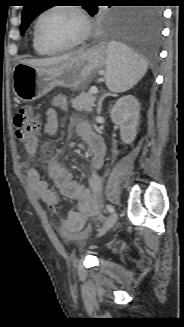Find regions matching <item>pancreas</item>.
Listing matches in <instances>:
<instances>
[{
  "label": "pancreas",
  "mask_w": 184,
  "mask_h": 327,
  "mask_svg": "<svg viewBox=\"0 0 184 327\" xmlns=\"http://www.w3.org/2000/svg\"><path fill=\"white\" fill-rule=\"evenodd\" d=\"M97 97L92 91L82 92L76 98L72 99V107L77 111L91 112L95 106Z\"/></svg>",
  "instance_id": "pancreas-1"
}]
</instances>
